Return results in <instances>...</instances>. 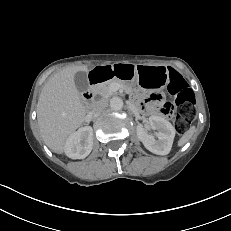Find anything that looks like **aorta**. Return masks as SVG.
I'll return each instance as SVG.
<instances>
[{
    "mask_svg": "<svg viewBox=\"0 0 231 231\" xmlns=\"http://www.w3.org/2000/svg\"><path fill=\"white\" fill-rule=\"evenodd\" d=\"M110 107L114 111H119L123 108V100L120 97H113L110 100Z\"/></svg>",
    "mask_w": 231,
    "mask_h": 231,
    "instance_id": "aorta-1",
    "label": "aorta"
}]
</instances>
